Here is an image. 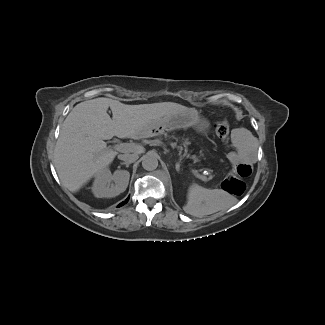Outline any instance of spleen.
Instances as JSON below:
<instances>
[{
    "mask_svg": "<svg viewBox=\"0 0 325 325\" xmlns=\"http://www.w3.org/2000/svg\"><path fill=\"white\" fill-rule=\"evenodd\" d=\"M232 204L233 200L228 193L192 184L188 188L184 211L190 215L202 217L227 209Z\"/></svg>",
    "mask_w": 325,
    "mask_h": 325,
    "instance_id": "1",
    "label": "spleen"
}]
</instances>
